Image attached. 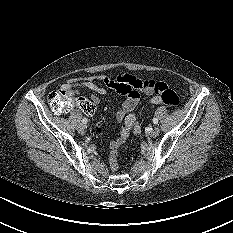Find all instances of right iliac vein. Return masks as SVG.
Returning <instances> with one entry per match:
<instances>
[{
	"label": "right iliac vein",
	"mask_w": 233,
	"mask_h": 233,
	"mask_svg": "<svg viewBox=\"0 0 233 233\" xmlns=\"http://www.w3.org/2000/svg\"><path fill=\"white\" fill-rule=\"evenodd\" d=\"M85 130H86V125H84V124H79V125H78L77 131H78L79 133H84Z\"/></svg>",
	"instance_id": "obj_1"
}]
</instances>
